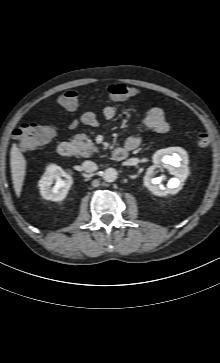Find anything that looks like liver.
<instances>
[{
  "instance_id": "obj_1",
  "label": "liver",
  "mask_w": 220,
  "mask_h": 363,
  "mask_svg": "<svg viewBox=\"0 0 220 363\" xmlns=\"http://www.w3.org/2000/svg\"><path fill=\"white\" fill-rule=\"evenodd\" d=\"M10 165L13 187L17 197H20L26 174V160L17 144H13L10 152Z\"/></svg>"
}]
</instances>
